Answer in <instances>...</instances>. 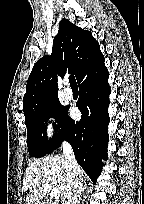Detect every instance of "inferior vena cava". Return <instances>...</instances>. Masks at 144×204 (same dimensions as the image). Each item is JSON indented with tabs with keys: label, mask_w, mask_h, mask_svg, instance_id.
<instances>
[{
	"label": "inferior vena cava",
	"mask_w": 144,
	"mask_h": 204,
	"mask_svg": "<svg viewBox=\"0 0 144 204\" xmlns=\"http://www.w3.org/2000/svg\"><path fill=\"white\" fill-rule=\"evenodd\" d=\"M62 148L66 160V171L69 184L68 191L62 199V204H78L81 192L83 191L82 181L79 176L80 166L75 159L72 146L64 141Z\"/></svg>",
	"instance_id": "inferior-vena-cava-1"
}]
</instances>
